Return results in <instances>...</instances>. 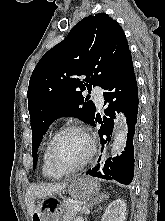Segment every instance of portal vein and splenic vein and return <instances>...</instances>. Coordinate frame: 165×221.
Returning <instances> with one entry per match:
<instances>
[{
    "mask_svg": "<svg viewBox=\"0 0 165 221\" xmlns=\"http://www.w3.org/2000/svg\"><path fill=\"white\" fill-rule=\"evenodd\" d=\"M74 210H76V211L81 210V206H79V205H75V206H74Z\"/></svg>",
    "mask_w": 165,
    "mask_h": 221,
    "instance_id": "portal-vein-and-splenic-vein-1",
    "label": "portal vein and splenic vein"
}]
</instances>
